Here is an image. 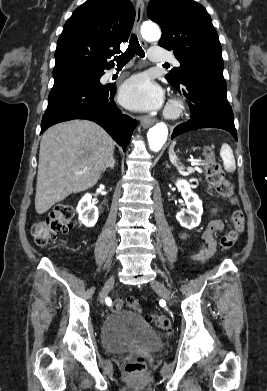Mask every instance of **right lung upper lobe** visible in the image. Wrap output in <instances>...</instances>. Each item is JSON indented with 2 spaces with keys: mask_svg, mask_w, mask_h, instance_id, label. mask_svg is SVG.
I'll return each mask as SVG.
<instances>
[{
  "mask_svg": "<svg viewBox=\"0 0 267 391\" xmlns=\"http://www.w3.org/2000/svg\"><path fill=\"white\" fill-rule=\"evenodd\" d=\"M135 19L129 0H88L63 27L55 52L53 76L99 72L128 40Z\"/></svg>",
  "mask_w": 267,
  "mask_h": 391,
  "instance_id": "obj_1",
  "label": "right lung upper lobe"
}]
</instances>
